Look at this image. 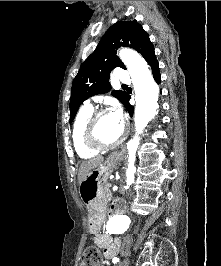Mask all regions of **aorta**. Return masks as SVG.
<instances>
[{"instance_id": "1", "label": "aorta", "mask_w": 221, "mask_h": 266, "mask_svg": "<svg viewBox=\"0 0 221 266\" xmlns=\"http://www.w3.org/2000/svg\"><path fill=\"white\" fill-rule=\"evenodd\" d=\"M119 57L127 67L132 78L135 91V136L127 142L128 168L126 172L127 185L134 181L136 168L134 166L136 151L140 144L139 135L147 124L155 117L158 109L159 87L145 60L135 51L122 49ZM129 218L126 215H115L107 223L106 229L111 234H121L129 228Z\"/></svg>"}]
</instances>
